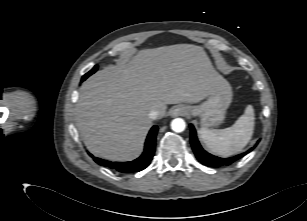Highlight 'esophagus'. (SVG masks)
I'll return each instance as SVG.
<instances>
[{
    "label": "esophagus",
    "instance_id": "34e87169",
    "mask_svg": "<svg viewBox=\"0 0 307 221\" xmlns=\"http://www.w3.org/2000/svg\"><path fill=\"white\" fill-rule=\"evenodd\" d=\"M169 113L172 117L185 116L188 114V110L184 106H175L170 110Z\"/></svg>",
    "mask_w": 307,
    "mask_h": 221
}]
</instances>
